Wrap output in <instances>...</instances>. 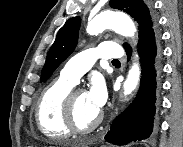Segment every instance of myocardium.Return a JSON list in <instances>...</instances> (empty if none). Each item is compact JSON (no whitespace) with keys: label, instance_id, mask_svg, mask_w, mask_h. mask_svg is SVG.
Returning a JSON list of instances; mask_svg holds the SVG:
<instances>
[{"label":"myocardium","instance_id":"obj_1","mask_svg":"<svg viewBox=\"0 0 183 147\" xmlns=\"http://www.w3.org/2000/svg\"><path fill=\"white\" fill-rule=\"evenodd\" d=\"M80 93H84V90L72 89L69 92V94L66 96L63 103V117H64L65 125L72 133L88 134L94 131L100 125L103 119V114L101 111H99L98 115L90 125L84 128L79 127L75 121L74 106H75V99L77 95Z\"/></svg>","mask_w":183,"mask_h":147}]
</instances>
